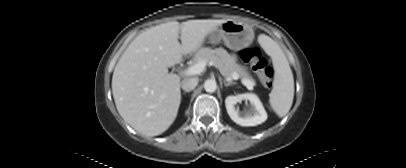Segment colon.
<instances>
[{"label": "colon", "mask_w": 406, "mask_h": 168, "mask_svg": "<svg viewBox=\"0 0 406 168\" xmlns=\"http://www.w3.org/2000/svg\"><path fill=\"white\" fill-rule=\"evenodd\" d=\"M240 57L252 65L264 86L268 87L272 84L274 76L273 69L267 64L266 59L261 55L257 47L242 49L240 51Z\"/></svg>", "instance_id": "colon-1"}]
</instances>
